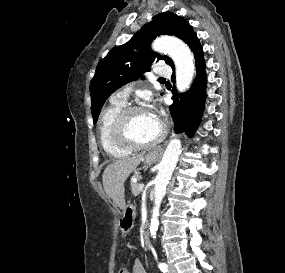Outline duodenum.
Here are the masks:
<instances>
[{
  "instance_id": "410a0bca",
  "label": "duodenum",
  "mask_w": 285,
  "mask_h": 273,
  "mask_svg": "<svg viewBox=\"0 0 285 273\" xmlns=\"http://www.w3.org/2000/svg\"><path fill=\"white\" fill-rule=\"evenodd\" d=\"M144 245L146 248H149L151 245V238H150V234L148 232H146L144 234Z\"/></svg>"
}]
</instances>
